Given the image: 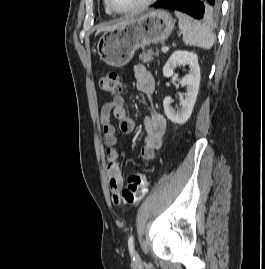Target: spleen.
<instances>
[{"instance_id": "spleen-1", "label": "spleen", "mask_w": 265, "mask_h": 269, "mask_svg": "<svg viewBox=\"0 0 265 269\" xmlns=\"http://www.w3.org/2000/svg\"><path fill=\"white\" fill-rule=\"evenodd\" d=\"M179 20L178 26L183 34V41L186 45L197 46L203 49H210L214 44V35L211 29L185 13L174 12Z\"/></svg>"}]
</instances>
